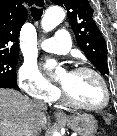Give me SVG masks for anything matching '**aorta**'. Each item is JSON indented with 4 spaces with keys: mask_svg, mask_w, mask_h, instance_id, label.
Masks as SVG:
<instances>
[{
    "mask_svg": "<svg viewBox=\"0 0 117 136\" xmlns=\"http://www.w3.org/2000/svg\"><path fill=\"white\" fill-rule=\"evenodd\" d=\"M65 18V12L61 7L49 8L41 21V26L44 31L48 32L57 27ZM53 136H60L58 132H55Z\"/></svg>",
    "mask_w": 117,
    "mask_h": 136,
    "instance_id": "1",
    "label": "aorta"
}]
</instances>
